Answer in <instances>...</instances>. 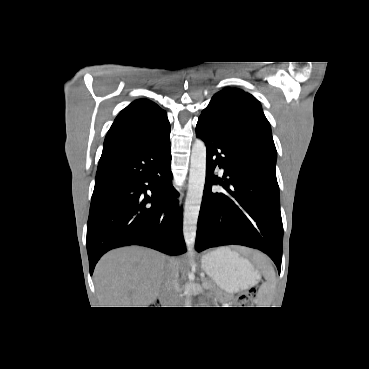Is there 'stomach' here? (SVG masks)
Returning a JSON list of instances; mask_svg holds the SVG:
<instances>
[{
	"label": "stomach",
	"instance_id": "1",
	"mask_svg": "<svg viewBox=\"0 0 369 369\" xmlns=\"http://www.w3.org/2000/svg\"><path fill=\"white\" fill-rule=\"evenodd\" d=\"M202 268L227 293L247 289L255 285L260 278L250 261L229 248H219L204 255Z\"/></svg>",
	"mask_w": 369,
	"mask_h": 369
}]
</instances>
